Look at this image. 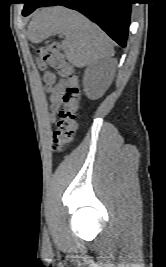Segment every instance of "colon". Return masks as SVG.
Returning <instances> with one entry per match:
<instances>
[{"mask_svg":"<svg viewBox=\"0 0 166 267\" xmlns=\"http://www.w3.org/2000/svg\"><path fill=\"white\" fill-rule=\"evenodd\" d=\"M37 64L40 69H45L47 66L53 68L68 82L52 134V148L55 152H60L71 142L76 130V118L81 100L79 79L56 42H51L38 50ZM56 79L55 73L48 72L44 75V81L48 86L53 85Z\"/></svg>","mask_w":166,"mask_h":267,"instance_id":"1","label":"colon"}]
</instances>
